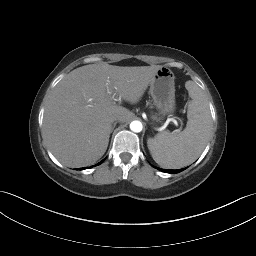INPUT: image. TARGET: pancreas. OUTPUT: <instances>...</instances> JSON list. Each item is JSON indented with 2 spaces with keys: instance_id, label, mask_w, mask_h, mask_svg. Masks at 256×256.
Masks as SVG:
<instances>
[{
  "instance_id": "1",
  "label": "pancreas",
  "mask_w": 256,
  "mask_h": 256,
  "mask_svg": "<svg viewBox=\"0 0 256 256\" xmlns=\"http://www.w3.org/2000/svg\"><path fill=\"white\" fill-rule=\"evenodd\" d=\"M152 119H153V120H156V121L159 120L156 116H153Z\"/></svg>"
}]
</instances>
